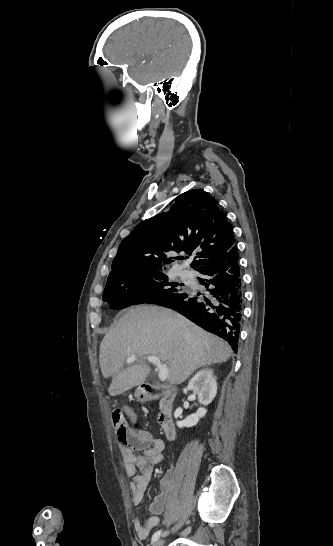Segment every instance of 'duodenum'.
<instances>
[{"label": "duodenum", "mask_w": 333, "mask_h": 546, "mask_svg": "<svg viewBox=\"0 0 333 546\" xmlns=\"http://www.w3.org/2000/svg\"><path fill=\"white\" fill-rule=\"evenodd\" d=\"M141 394L145 400L160 399L161 408L158 414V422L165 438L173 440L176 432L172 411L173 403L177 395L176 388L173 386L145 384L141 387Z\"/></svg>", "instance_id": "410a0bca"}]
</instances>
